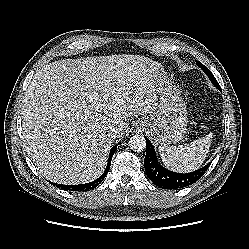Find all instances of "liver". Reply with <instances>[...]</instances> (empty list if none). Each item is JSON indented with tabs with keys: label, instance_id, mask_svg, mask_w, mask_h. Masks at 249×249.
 <instances>
[{
	"label": "liver",
	"instance_id": "1",
	"mask_svg": "<svg viewBox=\"0 0 249 249\" xmlns=\"http://www.w3.org/2000/svg\"><path fill=\"white\" fill-rule=\"evenodd\" d=\"M161 67L148 57L123 54L60 60L36 71L21 118L26 151L39 173L60 184L99 177L128 121L155 111ZM113 129L116 138L109 136Z\"/></svg>",
	"mask_w": 249,
	"mask_h": 249
}]
</instances>
